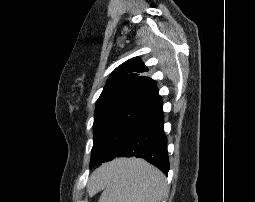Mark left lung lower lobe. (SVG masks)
Listing matches in <instances>:
<instances>
[{
	"instance_id": "0a47b994",
	"label": "left lung lower lobe",
	"mask_w": 255,
	"mask_h": 202,
	"mask_svg": "<svg viewBox=\"0 0 255 202\" xmlns=\"http://www.w3.org/2000/svg\"><path fill=\"white\" fill-rule=\"evenodd\" d=\"M116 157L144 158L159 168L165 175L169 171L167 138L163 131L162 104L155 109L134 131ZM113 158V159H114ZM112 159L98 161L96 165Z\"/></svg>"
}]
</instances>
